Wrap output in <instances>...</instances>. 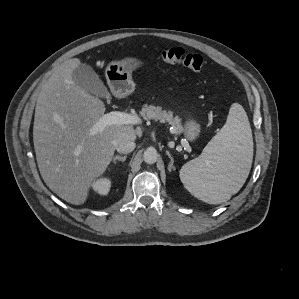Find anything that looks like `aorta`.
Returning <instances> with one entry per match:
<instances>
[{
  "mask_svg": "<svg viewBox=\"0 0 299 299\" xmlns=\"http://www.w3.org/2000/svg\"><path fill=\"white\" fill-rule=\"evenodd\" d=\"M143 159L147 164H154L158 160V153L155 148H147L144 151Z\"/></svg>",
  "mask_w": 299,
  "mask_h": 299,
  "instance_id": "1",
  "label": "aorta"
}]
</instances>
